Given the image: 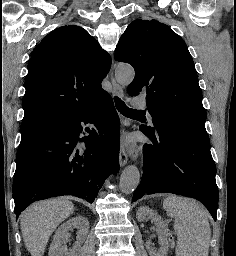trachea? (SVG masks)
I'll use <instances>...</instances> for the list:
<instances>
[{"instance_id":"1","label":"trachea","mask_w":236,"mask_h":256,"mask_svg":"<svg viewBox=\"0 0 236 256\" xmlns=\"http://www.w3.org/2000/svg\"><path fill=\"white\" fill-rule=\"evenodd\" d=\"M114 101L117 110L120 111V113H122V115L124 116L137 112H142V110H133V108H128V106L125 105L124 101H122L121 98H118V96H115Z\"/></svg>"}]
</instances>
